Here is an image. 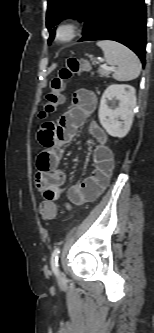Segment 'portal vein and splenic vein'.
I'll list each match as a JSON object with an SVG mask.
<instances>
[{
    "mask_svg": "<svg viewBox=\"0 0 154 333\" xmlns=\"http://www.w3.org/2000/svg\"><path fill=\"white\" fill-rule=\"evenodd\" d=\"M102 67L106 70H114L115 69L114 67H109L107 65H103Z\"/></svg>",
    "mask_w": 154,
    "mask_h": 333,
    "instance_id": "obj_1",
    "label": "portal vein and splenic vein"
}]
</instances>
